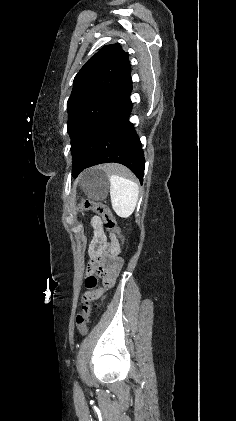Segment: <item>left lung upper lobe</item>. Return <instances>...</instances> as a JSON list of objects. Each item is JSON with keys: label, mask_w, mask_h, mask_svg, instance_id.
<instances>
[{"label": "left lung upper lobe", "mask_w": 236, "mask_h": 421, "mask_svg": "<svg viewBox=\"0 0 236 421\" xmlns=\"http://www.w3.org/2000/svg\"><path fill=\"white\" fill-rule=\"evenodd\" d=\"M130 78L128 54L119 44L102 47L75 76L67 102L73 164L97 120L123 93Z\"/></svg>", "instance_id": "5c2ea615"}]
</instances>
